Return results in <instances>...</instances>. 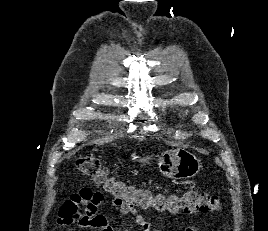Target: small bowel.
<instances>
[{
  "label": "small bowel",
  "instance_id": "1",
  "mask_svg": "<svg viewBox=\"0 0 268 231\" xmlns=\"http://www.w3.org/2000/svg\"><path fill=\"white\" fill-rule=\"evenodd\" d=\"M81 191L88 192L85 197L80 196ZM79 193L71 195L60 207L56 222L60 226L92 228L100 231H114L108 217L99 212L104 204V196L101 192L84 187ZM114 208L122 214L131 215L134 222L142 231H159L135 208L122 211L116 204ZM184 231H197L196 226H189Z\"/></svg>",
  "mask_w": 268,
  "mask_h": 231
}]
</instances>
